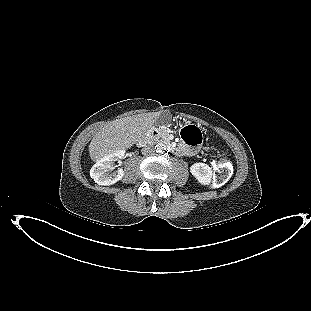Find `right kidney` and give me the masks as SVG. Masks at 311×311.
<instances>
[{"label":"right kidney","instance_id":"ca27d5eb","mask_svg":"<svg viewBox=\"0 0 311 311\" xmlns=\"http://www.w3.org/2000/svg\"><path fill=\"white\" fill-rule=\"evenodd\" d=\"M125 150H118L107 156H104L96 162L90 170V176L99 185L109 186L121 180L124 176V170L118 169L116 172L110 173L109 169L114 166V161L120 159Z\"/></svg>","mask_w":311,"mask_h":311}]
</instances>
